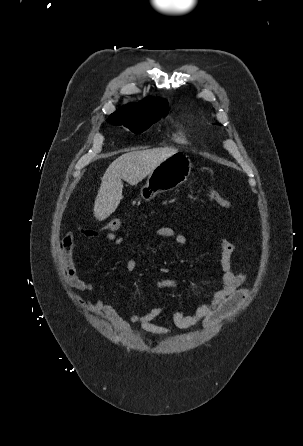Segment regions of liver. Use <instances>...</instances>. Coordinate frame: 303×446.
Segmentation results:
<instances>
[{"label": "liver", "instance_id": "obj_1", "mask_svg": "<svg viewBox=\"0 0 303 446\" xmlns=\"http://www.w3.org/2000/svg\"><path fill=\"white\" fill-rule=\"evenodd\" d=\"M178 153L177 149L157 148L131 151L114 160L105 171L93 213L96 219L104 220L118 207L122 200V179L136 185L149 175L160 163Z\"/></svg>", "mask_w": 303, "mask_h": 446}]
</instances>
